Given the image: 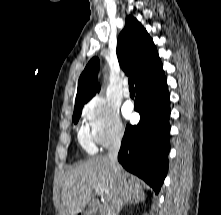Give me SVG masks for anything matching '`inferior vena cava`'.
I'll return each instance as SVG.
<instances>
[{
  "instance_id": "602c4592",
  "label": "inferior vena cava",
  "mask_w": 221,
  "mask_h": 215,
  "mask_svg": "<svg viewBox=\"0 0 221 215\" xmlns=\"http://www.w3.org/2000/svg\"><path fill=\"white\" fill-rule=\"evenodd\" d=\"M121 145V139L117 138L112 146L108 150L107 157L112 166L113 172L116 176L120 174V166L117 162V156ZM127 195L122 191L121 188H118L111 201L105 205L104 214L105 215H118L120 208L125 201Z\"/></svg>"
}]
</instances>
